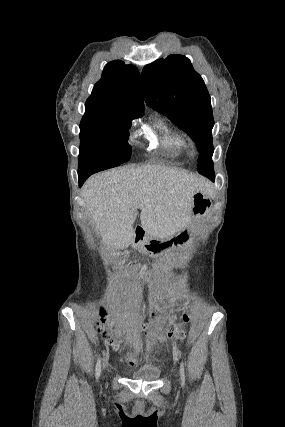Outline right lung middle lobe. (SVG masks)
Instances as JSON below:
<instances>
[{
    "label": "right lung middle lobe",
    "mask_w": 285,
    "mask_h": 427,
    "mask_svg": "<svg viewBox=\"0 0 285 427\" xmlns=\"http://www.w3.org/2000/svg\"><path fill=\"white\" fill-rule=\"evenodd\" d=\"M131 121L80 125L78 172L95 173L128 161L131 157L128 144Z\"/></svg>",
    "instance_id": "right-lung-middle-lobe-1"
}]
</instances>
